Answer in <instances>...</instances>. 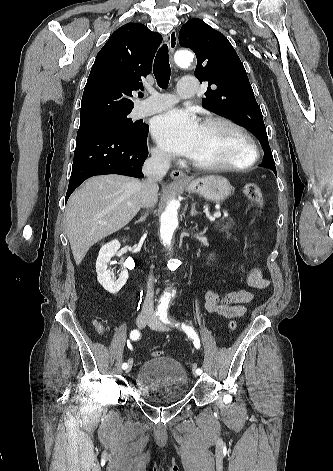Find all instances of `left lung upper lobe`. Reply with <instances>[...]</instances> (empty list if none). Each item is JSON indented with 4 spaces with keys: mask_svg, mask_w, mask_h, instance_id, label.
Segmentation results:
<instances>
[{
    "mask_svg": "<svg viewBox=\"0 0 333 471\" xmlns=\"http://www.w3.org/2000/svg\"><path fill=\"white\" fill-rule=\"evenodd\" d=\"M179 43L196 54L195 76L201 83L209 82L206 98L202 99L203 106L250 130L264 150L262 166L276 174L262 112L243 63L229 40L203 20L191 19L182 26Z\"/></svg>",
    "mask_w": 333,
    "mask_h": 471,
    "instance_id": "left-lung-upper-lobe-1",
    "label": "left lung upper lobe"
}]
</instances>
